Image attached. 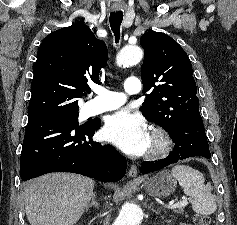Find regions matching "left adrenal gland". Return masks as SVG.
<instances>
[{"label":"left adrenal gland","mask_w":237,"mask_h":225,"mask_svg":"<svg viewBox=\"0 0 237 225\" xmlns=\"http://www.w3.org/2000/svg\"><path fill=\"white\" fill-rule=\"evenodd\" d=\"M150 208H151V205H150ZM152 211H153L155 214H157V215L160 214V210H158V209H157V210H154V209L152 208Z\"/></svg>","instance_id":"left-adrenal-gland-1"}]
</instances>
